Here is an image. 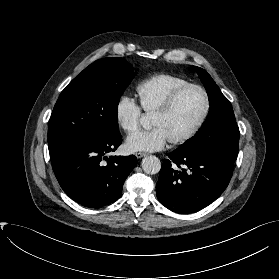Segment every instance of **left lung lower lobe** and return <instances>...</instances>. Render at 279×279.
I'll return each mask as SVG.
<instances>
[{"instance_id":"1","label":"left lung lower lobe","mask_w":279,"mask_h":279,"mask_svg":"<svg viewBox=\"0 0 279 279\" xmlns=\"http://www.w3.org/2000/svg\"><path fill=\"white\" fill-rule=\"evenodd\" d=\"M168 157L161 166L156 190L159 202L176 213L208 206L224 192L232 176L234 162L217 155L188 156L175 150Z\"/></svg>"}]
</instances>
